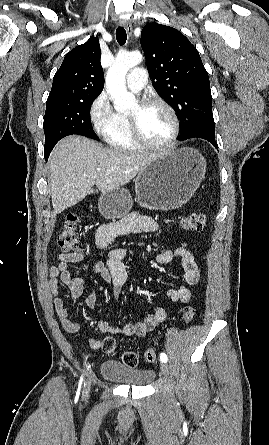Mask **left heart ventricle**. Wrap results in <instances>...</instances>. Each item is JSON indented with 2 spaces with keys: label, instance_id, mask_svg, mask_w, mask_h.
Segmentation results:
<instances>
[{
  "label": "left heart ventricle",
  "instance_id": "left-heart-ventricle-1",
  "mask_svg": "<svg viewBox=\"0 0 269 445\" xmlns=\"http://www.w3.org/2000/svg\"><path fill=\"white\" fill-rule=\"evenodd\" d=\"M137 105L132 111H136ZM141 132L153 144L165 142L172 133L173 124L168 112L159 105H150L140 112Z\"/></svg>",
  "mask_w": 269,
  "mask_h": 445
}]
</instances>
